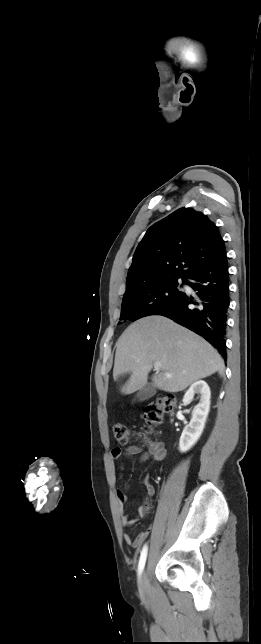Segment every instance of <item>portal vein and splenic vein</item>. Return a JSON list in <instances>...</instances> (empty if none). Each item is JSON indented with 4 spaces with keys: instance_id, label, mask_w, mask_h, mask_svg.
Masks as SVG:
<instances>
[{
    "instance_id": "1",
    "label": "portal vein and splenic vein",
    "mask_w": 261,
    "mask_h": 644,
    "mask_svg": "<svg viewBox=\"0 0 261 644\" xmlns=\"http://www.w3.org/2000/svg\"><path fill=\"white\" fill-rule=\"evenodd\" d=\"M160 368H161V363H160V362H155V363H154V369H155L156 371H159V370H160ZM165 376H166V377H168V378L172 377V375H171V374H169V373H166V374H165Z\"/></svg>"
}]
</instances>
